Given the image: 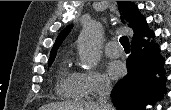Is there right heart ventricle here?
Segmentation results:
<instances>
[{"instance_id": "1", "label": "right heart ventricle", "mask_w": 171, "mask_h": 110, "mask_svg": "<svg viewBox=\"0 0 171 110\" xmlns=\"http://www.w3.org/2000/svg\"><path fill=\"white\" fill-rule=\"evenodd\" d=\"M57 94L66 100L77 101L85 98L84 90L78 79L77 73L71 71L67 61L61 65L56 80Z\"/></svg>"}]
</instances>
